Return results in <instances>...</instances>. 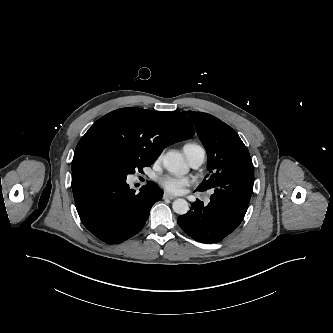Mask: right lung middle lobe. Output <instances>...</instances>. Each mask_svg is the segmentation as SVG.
<instances>
[{
  "instance_id": "obj_1",
  "label": "right lung middle lobe",
  "mask_w": 333,
  "mask_h": 333,
  "mask_svg": "<svg viewBox=\"0 0 333 333\" xmlns=\"http://www.w3.org/2000/svg\"><path fill=\"white\" fill-rule=\"evenodd\" d=\"M154 163L151 159L131 158L111 152H91L83 160V165L93 167L105 174L126 179L128 174L135 170L142 171L143 167Z\"/></svg>"
}]
</instances>
